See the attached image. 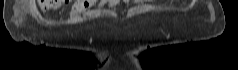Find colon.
<instances>
[{"instance_id":"5ec220e1","label":"colon","mask_w":238,"mask_h":70,"mask_svg":"<svg viewBox=\"0 0 238 70\" xmlns=\"http://www.w3.org/2000/svg\"><path fill=\"white\" fill-rule=\"evenodd\" d=\"M70 0H39V5L42 10H48L58 7L61 3H67Z\"/></svg>"}]
</instances>
